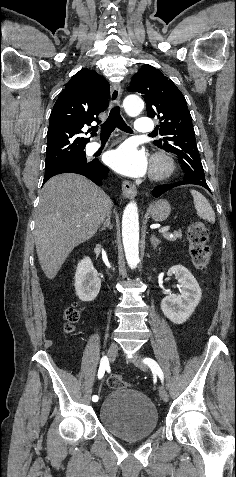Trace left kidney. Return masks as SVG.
Here are the masks:
<instances>
[{
	"label": "left kidney",
	"instance_id": "left-kidney-1",
	"mask_svg": "<svg viewBox=\"0 0 236 477\" xmlns=\"http://www.w3.org/2000/svg\"><path fill=\"white\" fill-rule=\"evenodd\" d=\"M175 275V278L182 285L181 295L170 294L163 298L161 309L164 315L175 324H182L194 312L202 296L198 282L192 273L182 265L171 267L167 275Z\"/></svg>",
	"mask_w": 236,
	"mask_h": 477
}]
</instances>
